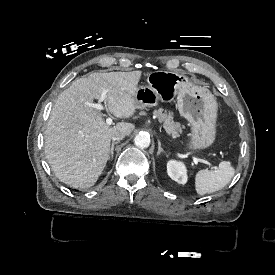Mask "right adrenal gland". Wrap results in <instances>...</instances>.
<instances>
[{
  "label": "right adrenal gland",
  "mask_w": 275,
  "mask_h": 275,
  "mask_svg": "<svg viewBox=\"0 0 275 275\" xmlns=\"http://www.w3.org/2000/svg\"><path fill=\"white\" fill-rule=\"evenodd\" d=\"M119 141H116V142H112L111 144V150H110V155H109V160H113V155H114V146L118 143Z\"/></svg>",
  "instance_id": "obj_1"
}]
</instances>
